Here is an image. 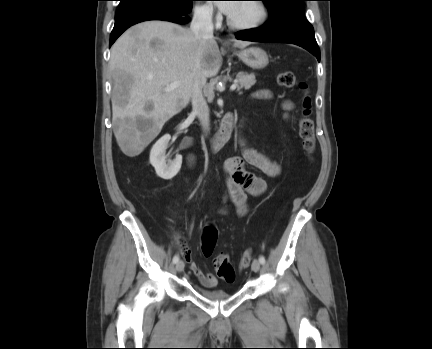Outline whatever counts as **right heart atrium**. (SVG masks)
Segmentation results:
<instances>
[{
	"mask_svg": "<svg viewBox=\"0 0 432 349\" xmlns=\"http://www.w3.org/2000/svg\"><path fill=\"white\" fill-rule=\"evenodd\" d=\"M195 16L202 21H212L216 14L210 3L197 4L194 8Z\"/></svg>",
	"mask_w": 432,
	"mask_h": 349,
	"instance_id": "d8ad5b80",
	"label": "right heart atrium"
}]
</instances>
